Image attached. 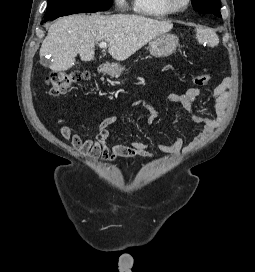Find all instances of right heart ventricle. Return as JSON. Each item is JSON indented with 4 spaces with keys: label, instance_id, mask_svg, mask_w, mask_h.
Instances as JSON below:
<instances>
[{
    "label": "right heart ventricle",
    "instance_id": "obj_1",
    "mask_svg": "<svg viewBox=\"0 0 255 272\" xmlns=\"http://www.w3.org/2000/svg\"><path fill=\"white\" fill-rule=\"evenodd\" d=\"M134 10L145 16L163 18L172 14L168 11L162 0H133Z\"/></svg>",
    "mask_w": 255,
    "mask_h": 272
}]
</instances>
